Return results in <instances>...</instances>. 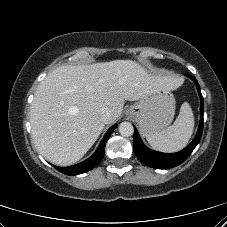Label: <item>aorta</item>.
I'll return each instance as SVG.
<instances>
[{
	"instance_id": "obj_1",
	"label": "aorta",
	"mask_w": 227,
	"mask_h": 227,
	"mask_svg": "<svg viewBox=\"0 0 227 227\" xmlns=\"http://www.w3.org/2000/svg\"><path fill=\"white\" fill-rule=\"evenodd\" d=\"M119 133L124 137H129L133 135L134 128L133 125L130 122H122L119 124Z\"/></svg>"
}]
</instances>
